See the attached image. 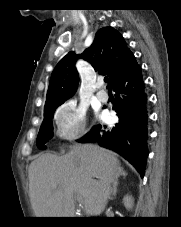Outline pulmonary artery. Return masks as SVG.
Instances as JSON below:
<instances>
[{
	"label": "pulmonary artery",
	"instance_id": "e3ab8cb5",
	"mask_svg": "<svg viewBox=\"0 0 181 227\" xmlns=\"http://www.w3.org/2000/svg\"><path fill=\"white\" fill-rule=\"evenodd\" d=\"M102 86H103V82L99 81L98 83V87L100 88V90L97 92V98L101 101V102H107L109 99V95L106 91L102 90Z\"/></svg>",
	"mask_w": 181,
	"mask_h": 227
}]
</instances>
